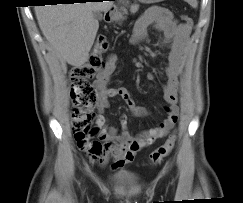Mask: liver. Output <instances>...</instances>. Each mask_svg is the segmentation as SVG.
Masks as SVG:
<instances>
[{"mask_svg":"<svg viewBox=\"0 0 243 203\" xmlns=\"http://www.w3.org/2000/svg\"><path fill=\"white\" fill-rule=\"evenodd\" d=\"M112 1L41 5L35 8L39 27L50 46L70 65L89 58L99 23L94 11H107Z\"/></svg>","mask_w":243,"mask_h":203,"instance_id":"obj_1","label":"liver"}]
</instances>
